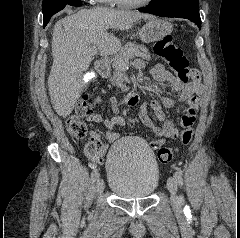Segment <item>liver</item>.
Listing matches in <instances>:
<instances>
[{
  "instance_id": "obj_1",
  "label": "liver",
  "mask_w": 240,
  "mask_h": 238,
  "mask_svg": "<svg viewBox=\"0 0 240 238\" xmlns=\"http://www.w3.org/2000/svg\"><path fill=\"white\" fill-rule=\"evenodd\" d=\"M155 16L108 8L83 9L59 20L53 29V65L48 90L54 110L66 118L74 109L83 89V72L92 61L90 48L118 52L120 40L110 29L129 30L137 21Z\"/></svg>"
}]
</instances>
